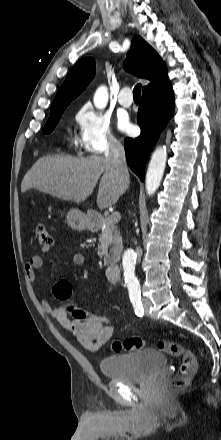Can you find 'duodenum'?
Instances as JSON below:
<instances>
[{
	"mask_svg": "<svg viewBox=\"0 0 221 440\" xmlns=\"http://www.w3.org/2000/svg\"><path fill=\"white\" fill-rule=\"evenodd\" d=\"M99 219V216L96 214L89 215V221L92 225L97 224ZM106 275L110 281L117 282L121 278V269L118 265L112 263L107 267Z\"/></svg>",
	"mask_w": 221,
	"mask_h": 440,
	"instance_id": "410a0bca",
	"label": "duodenum"
}]
</instances>
